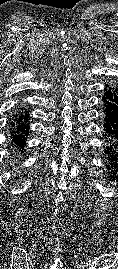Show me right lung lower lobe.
<instances>
[{
	"mask_svg": "<svg viewBox=\"0 0 118 269\" xmlns=\"http://www.w3.org/2000/svg\"><path fill=\"white\" fill-rule=\"evenodd\" d=\"M29 115L23 108H19L10 121V138L18 145L25 144V137L29 134L28 121Z\"/></svg>",
	"mask_w": 118,
	"mask_h": 269,
	"instance_id": "1",
	"label": "right lung lower lobe"
}]
</instances>
